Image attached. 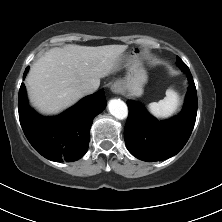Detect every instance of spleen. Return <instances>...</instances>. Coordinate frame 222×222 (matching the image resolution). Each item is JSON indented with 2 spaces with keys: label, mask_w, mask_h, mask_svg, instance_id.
I'll use <instances>...</instances> for the list:
<instances>
[{
  "label": "spleen",
  "mask_w": 222,
  "mask_h": 222,
  "mask_svg": "<svg viewBox=\"0 0 222 222\" xmlns=\"http://www.w3.org/2000/svg\"><path fill=\"white\" fill-rule=\"evenodd\" d=\"M180 104L179 95L172 89L166 91V97L159 102H152L148 105L151 114L158 118H168L178 109Z\"/></svg>",
  "instance_id": "obj_1"
}]
</instances>
